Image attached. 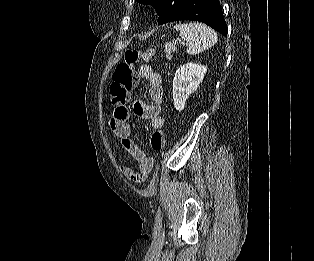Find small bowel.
Returning <instances> with one entry per match:
<instances>
[{"instance_id":"c3829d8e","label":"small bowel","mask_w":314,"mask_h":261,"mask_svg":"<svg viewBox=\"0 0 314 261\" xmlns=\"http://www.w3.org/2000/svg\"><path fill=\"white\" fill-rule=\"evenodd\" d=\"M138 73L141 79L148 82L150 102L134 101L132 105L133 114L139 118L149 120L153 129H162L164 126V119L160 116V106L164 101L162 76L153 71L149 65H141ZM113 106L112 115L109 119V128L119 139L122 149L138 162L136 169L129 165H120V171L132 183L142 184L154 167V159L148 156L134 141L128 123L131 113L127 105Z\"/></svg>"}]
</instances>
